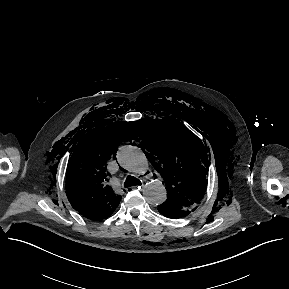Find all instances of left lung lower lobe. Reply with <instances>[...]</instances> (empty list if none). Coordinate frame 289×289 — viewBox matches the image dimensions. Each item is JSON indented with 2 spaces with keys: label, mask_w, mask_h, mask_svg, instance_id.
<instances>
[{
  "label": "left lung lower lobe",
  "mask_w": 289,
  "mask_h": 289,
  "mask_svg": "<svg viewBox=\"0 0 289 289\" xmlns=\"http://www.w3.org/2000/svg\"><path fill=\"white\" fill-rule=\"evenodd\" d=\"M158 211L167 218L178 219L187 216L189 213L183 210L173 209L164 205L158 206Z\"/></svg>",
  "instance_id": "0a47b994"
}]
</instances>
